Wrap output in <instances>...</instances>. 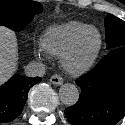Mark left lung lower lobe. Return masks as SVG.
Instances as JSON below:
<instances>
[{"instance_id": "obj_1", "label": "left lung lower lobe", "mask_w": 125, "mask_h": 125, "mask_svg": "<svg viewBox=\"0 0 125 125\" xmlns=\"http://www.w3.org/2000/svg\"><path fill=\"white\" fill-rule=\"evenodd\" d=\"M75 82L79 100L65 109L71 125H115L125 116V46L112 49Z\"/></svg>"}]
</instances>
